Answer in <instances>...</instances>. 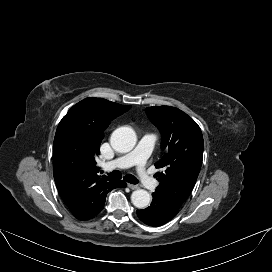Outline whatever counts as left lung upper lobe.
I'll return each mask as SVG.
<instances>
[{"mask_svg":"<svg viewBox=\"0 0 272 272\" xmlns=\"http://www.w3.org/2000/svg\"><path fill=\"white\" fill-rule=\"evenodd\" d=\"M147 116L162 134L165 155L156 162L159 186L153 193L180 208L190 195L203 159V136L200 127L186 113L171 106L147 108Z\"/></svg>","mask_w":272,"mask_h":272,"instance_id":"left-lung-upper-lobe-1","label":"left lung upper lobe"}]
</instances>
